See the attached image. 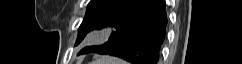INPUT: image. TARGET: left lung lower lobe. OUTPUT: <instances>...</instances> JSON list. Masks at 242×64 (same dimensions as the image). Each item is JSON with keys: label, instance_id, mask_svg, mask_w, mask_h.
I'll return each instance as SVG.
<instances>
[{"label": "left lung lower lobe", "instance_id": "obj_1", "mask_svg": "<svg viewBox=\"0 0 242 64\" xmlns=\"http://www.w3.org/2000/svg\"><path fill=\"white\" fill-rule=\"evenodd\" d=\"M164 0H122L109 10L95 29L114 27L109 40L83 48L79 54L98 53L120 57L132 64H157L166 35Z\"/></svg>", "mask_w": 242, "mask_h": 64}]
</instances>
